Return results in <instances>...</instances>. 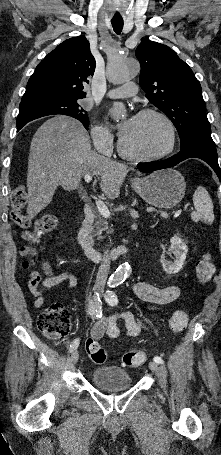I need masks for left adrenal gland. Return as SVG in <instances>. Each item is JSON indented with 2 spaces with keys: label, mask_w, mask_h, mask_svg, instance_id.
<instances>
[{
  "label": "left adrenal gland",
  "mask_w": 221,
  "mask_h": 455,
  "mask_svg": "<svg viewBox=\"0 0 221 455\" xmlns=\"http://www.w3.org/2000/svg\"><path fill=\"white\" fill-rule=\"evenodd\" d=\"M157 224H158V221L152 226V228H154Z\"/></svg>",
  "instance_id": "obj_1"
}]
</instances>
